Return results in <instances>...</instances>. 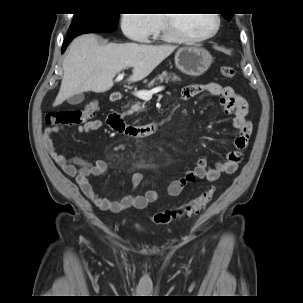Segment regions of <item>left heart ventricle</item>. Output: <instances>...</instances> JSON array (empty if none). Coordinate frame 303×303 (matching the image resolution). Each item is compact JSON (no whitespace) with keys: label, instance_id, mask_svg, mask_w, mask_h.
<instances>
[{"label":"left heart ventricle","instance_id":"b2bd125f","mask_svg":"<svg viewBox=\"0 0 303 303\" xmlns=\"http://www.w3.org/2000/svg\"><path fill=\"white\" fill-rule=\"evenodd\" d=\"M175 20V27L190 36H201L210 32L215 25L212 14H181Z\"/></svg>","mask_w":303,"mask_h":303}]
</instances>
